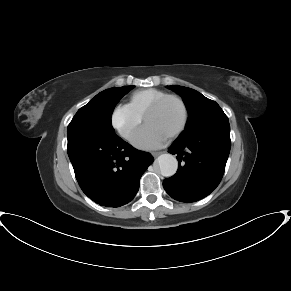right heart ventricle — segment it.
Wrapping results in <instances>:
<instances>
[{
  "label": "right heart ventricle",
  "mask_w": 291,
  "mask_h": 291,
  "mask_svg": "<svg viewBox=\"0 0 291 291\" xmlns=\"http://www.w3.org/2000/svg\"><path fill=\"white\" fill-rule=\"evenodd\" d=\"M165 95H168V93L156 88L136 90L129 97V105L143 117L146 109L154 101Z\"/></svg>",
  "instance_id": "obj_1"
}]
</instances>
